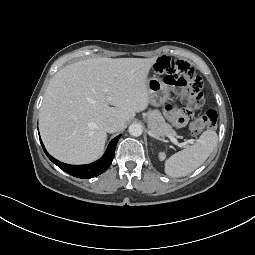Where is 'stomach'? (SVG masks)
I'll return each instance as SVG.
<instances>
[{"label":"stomach","instance_id":"1","mask_svg":"<svg viewBox=\"0 0 255 255\" xmlns=\"http://www.w3.org/2000/svg\"><path fill=\"white\" fill-rule=\"evenodd\" d=\"M149 102L154 106H162L170 100L169 87L158 78L148 79Z\"/></svg>","mask_w":255,"mask_h":255}]
</instances>
